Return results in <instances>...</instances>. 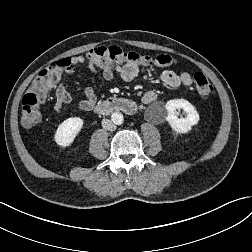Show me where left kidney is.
Listing matches in <instances>:
<instances>
[{
  "label": "left kidney",
  "mask_w": 252,
  "mask_h": 252,
  "mask_svg": "<svg viewBox=\"0 0 252 252\" xmlns=\"http://www.w3.org/2000/svg\"><path fill=\"white\" fill-rule=\"evenodd\" d=\"M165 108L167 110L166 120L173 130L178 133H187L191 130V127L196 125L199 121V114L195 110L194 106L184 99L169 100ZM183 109L187 116L179 119L176 114V110Z\"/></svg>",
  "instance_id": "1"
}]
</instances>
